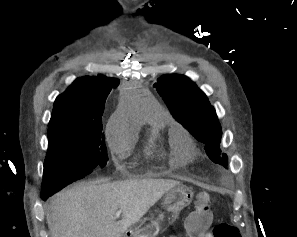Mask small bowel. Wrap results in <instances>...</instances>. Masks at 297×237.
I'll use <instances>...</instances> for the list:
<instances>
[{
  "instance_id": "small-bowel-1",
  "label": "small bowel",
  "mask_w": 297,
  "mask_h": 237,
  "mask_svg": "<svg viewBox=\"0 0 297 237\" xmlns=\"http://www.w3.org/2000/svg\"><path fill=\"white\" fill-rule=\"evenodd\" d=\"M204 237H212V235L207 233V234L204 235Z\"/></svg>"
}]
</instances>
